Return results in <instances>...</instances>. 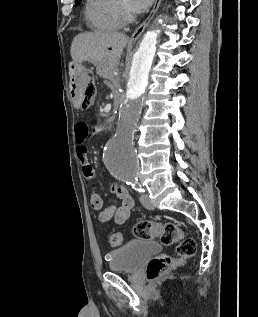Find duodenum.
<instances>
[{
  "instance_id": "410a0bca",
  "label": "duodenum",
  "mask_w": 258,
  "mask_h": 317,
  "mask_svg": "<svg viewBox=\"0 0 258 317\" xmlns=\"http://www.w3.org/2000/svg\"><path fill=\"white\" fill-rule=\"evenodd\" d=\"M70 77L74 81L73 83H76V80H77V69L76 68H72L70 70Z\"/></svg>"
}]
</instances>
